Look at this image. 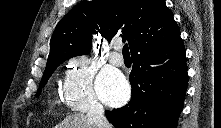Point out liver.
<instances>
[{
  "mask_svg": "<svg viewBox=\"0 0 221 128\" xmlns=\"http://www.w3.org/2000/svg\"><path fill=\"white\" fill-rule=\"evenodd\" d=\"M55 128H96V125L88 120L87 115L74 113L66 116Z\"/></svg>",
  "mask_w": 221,
  "mask_h": 128,
  "instance_id": "liver-1",
  "label": "liver"
}]
</instances>
